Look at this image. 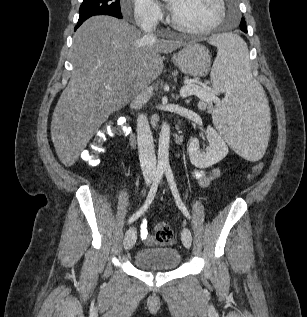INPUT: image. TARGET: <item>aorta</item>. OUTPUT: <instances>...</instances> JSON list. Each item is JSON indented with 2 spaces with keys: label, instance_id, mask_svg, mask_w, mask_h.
<instances>
[{
  "label": "aorta",
  "instance_id": "1",
  "mask_svg": "<svg viewBox=\"0 0 307 317\" xmlns=\"http://www.w3.org/2000/svg\"><path fill=\"white\" fill-rule=\"evenodd\" d=\"M169 143H170V127L167 122L161 126L158 143V165L160 167L169 166Z\"/></svg>",
  "mask_w": 307,
  "mask_h": 317
}]
</instances>
